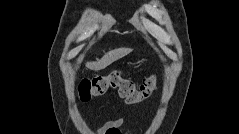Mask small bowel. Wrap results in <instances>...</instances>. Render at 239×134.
Here are the masks:
<instances>
[{
    "mask_svg": "<svg viewBox=\"0 0 239 134\" xmlns=\"http://www.w3.org/2000/svg\"><path fill=\"white\" fill-rule=\"evenodd\" d=\"M123 118L117 117L105 125L99 127L96 131L97 134H123L121 127L123 125Z\"/></svg>",
    "mask_w": 239,
    "mask_h": 134,
    "instance_id": "1",
    "label": "small bowel"
}]
</instances>
